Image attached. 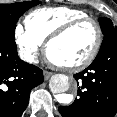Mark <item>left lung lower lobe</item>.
<instances>
[{
  "instance_id": "0a47b994",
  "label": "left lung lower lobe",
  "mask_w": 117,
  "mask_h": 117,
  "mask_svg": "<svg viewBox=\"0 0 117 117\" xmlns=\"http://www.w3.org/2000/svg\"><path fill=\"white\" fill-rule=\"evenodd\" d=\"M74 78L78 98L59 107L63 117H114L117 113V38L100 49L94 61Z\"/></svg>"
}]
</instances>
